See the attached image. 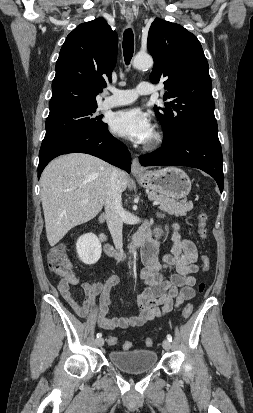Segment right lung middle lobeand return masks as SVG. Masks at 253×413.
I'll list each match as a JSON object with an SVG mask.
<instances>
[{
	"label": "right lung middle lobe",
	"instance_id": "1",
	"mask_svg": "<svg viewBox=\"0 0 253 413\" xmlns=\"http://www.w3.org/2000/svg\"><path fill=\"white\" fill-rule=\"evenodd\" d=\"M97 107L77 109L48 116L45 137L68 132H93L106 126L100 117H93Z\"/></svg>",
	"mask_w": 253,
	"mask_h": 413
}]
</instances>
